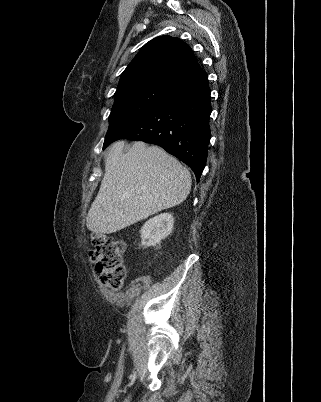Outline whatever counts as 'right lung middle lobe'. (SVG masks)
<instances>
[{"label":"right lung middle lobe","instance_id":"1","mask_svg":"<svg viewBox=\"0 0 321 402\" xmlns=\"http://www.w3.org/2000/svg\"><path fill=\"white\" fill-rule=\"evenodd\" d=\"M171 87L161 83H148L116 92L104 144L160 103Z\"/></svg>","mask_w":321,"mask_h":402}]
</instances>
